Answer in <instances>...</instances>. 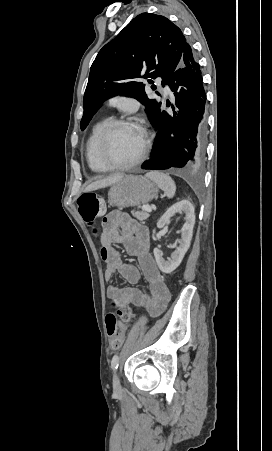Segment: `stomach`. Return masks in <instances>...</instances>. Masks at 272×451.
Masks as SVG:
<instances>
[{"mask_svg": "<svg viewBox=\"0 0 272 451\" xmlns=\"http://www.w3.org/2000/svg\"><path fill=\"white\" fill-rule=\"evenodd\" d=\"M158 194L154 182L144 176H124L120 182L113 184L108 192L110 206L128 208V206H141L151 202Z\"/></svg>", "mask_w": 272, "mask_h": 451, "instance_id": "0dacf381", "label": "stomach"}]
</instances>
